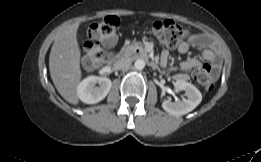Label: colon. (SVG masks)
I'll list each match as a JSON object with an SVG mask.
<instances>
[{
	"instance_id": "colon-1",
	"label": "colon",
	"mask_w": 261,
	"mask_h": 162,
	"mask_svg": "<svg viewBox=\"0 0 261 162\" xmlns=\"http://www.w3.org/2000/svg\"><path fill=\"white\" fill-rule=\"evenodd\" d=\"M119 19L115 16L105 17L93 23L88 29L89 42L84 50L86 61L91 65H99L104 59V49L112 47L117 40ZM153 33L161 44L175 47L188 34L187 29L171 20H158L153 24ZM196 81L208 92L214 89V77L208 69L195 72Z\"/></svg>"
}]
</instances>
